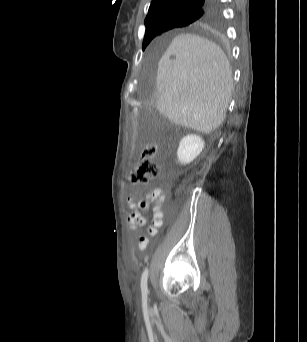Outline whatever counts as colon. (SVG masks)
Wrapping results in <instances>:
<instances>
[{
    "mask_svg": "<svg viewBox=\"0 0 307 342\" xmlns=\"http://www.w3.org/2000/svg\"><path fill=\"white\" fill-rule=\"evenodd\" d=\"M158 153L157 145L148 143L143 146L140 152V159L130 175L133 184H147L157 177L159 166L155 161Z\"/></svg>",
    "mask_w": 307,
    "mask_h": 342,
    "instance_id": "1",
    "label": "colon"
}]
</instances>
